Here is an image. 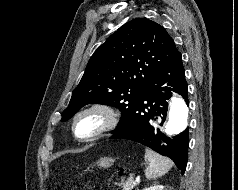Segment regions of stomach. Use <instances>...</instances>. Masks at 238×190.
<instances>
[{
	"mask_svg": "<svg viewBox=\"0 0 238 190\" xmlns=\"http://www.w3.org/2000/svg\"><path fill=\"white\" fill-rule=\"evenodd\" d=\"M114 163L111 157H102L98 160L97 165L101 168H109Z\"/></svg>",
	"mask_w": 238,
	"mask_h": 190,
	"instance_id": "obj_1",
	"label": "stomach"
}]
</instances>
